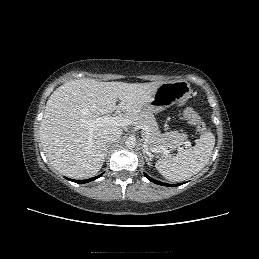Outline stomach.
Masks as SVG:
<instances>
[{
	"mask_svg": "<svg viewBox=\"0 0 259 259\" xmlns=\"http://www.w3.org/2000/svg\"><path fill=\"white\" fill-rule=\"evenodd\" d=\"M192 89L186 80L164 82L158 86L151 99L142 108L149 113L184 104L191 97Z\"/></svg>",
	"mask_w": 259,
	"mask_h": 259,
	"instance_id": "obj_1",
	"label": "stomach"
}]
</instances>
